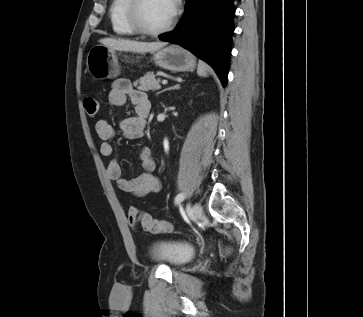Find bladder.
<instances>
[{
    "label": "bladder",
    "instance_id": "obj_1",
    "mask_svg": "<svg viewBox=\"0 0 363 317\" xmlns=\"http://www.w3.org/2000/svg\"><path fill=\"white\" fill-rule=\"evenodd\" d=\"M148 256L153 262L177 268L192 260L195 250L186 243L156 240L148 247Z\"/></svg>",
    "mask_w": 363,
    "mask_h": 317
}]
</instances>
